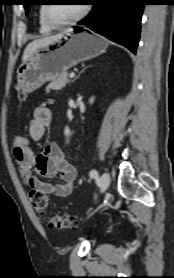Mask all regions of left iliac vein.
I'll list each match as a JSON object with an SVG mask.
<instances>
[{
    "instance_id": "obj_1",
    "label": "left iliac vein",
    "mask_w": 174,
    "mask_h": 278,
    "mask_svg": "<svg viewBox=\"0 0 174 278\" xmlns=\"http://www.w3.org/2000/svg\"><path fill=\"white\" fill-rule=\"evenodd\" d=\"M109 183H110V176L107 172H105L100 177V191L104 192L109 187Z\"/></svg>"
}]
</instances>
